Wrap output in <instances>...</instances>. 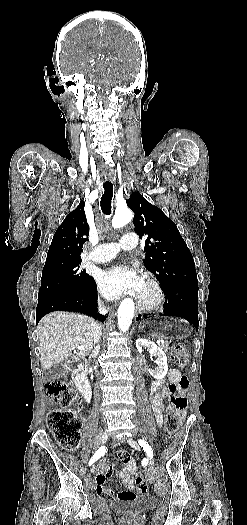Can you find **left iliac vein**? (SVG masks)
<instances>
[{
    "label": "left iliac vein",
    "mask_w": 247,
    "mask_h": 525,
    "mask_svg": "<svg viewBox=\"0 0 247 525\" xmlns=\"http://www.w3.org/2000/svg\"><path fill=\"white\" fill-rule=\"evenodd\" d=\"M127 442L133 448L140 450L139 445L132 438H127ZM148 462H149V466L153 468V466L155 465L154 459L152 457H148Z\"/></svg>",
    "instance_id": "4c4485c4"
}]
</instances>
